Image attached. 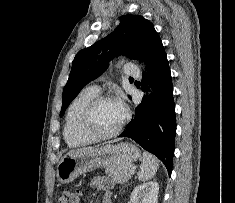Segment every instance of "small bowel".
<instances>
[{
  "mask_svg": "<svg viewBox=\"0 0 235 203\" xmlns=\"http://www.w3.org/2000/svg\"><path fill=\"white\" fill-rule=\"evenodd\" d=\"M91 186L93 188L103 191L104 193L103 203H111L110 193H111L113 184H112V181L108 177L97 176L93 178V180L91 181Z\"/></svg>",
  "mask_w": 235,
  "mask_h": 203,
  "instance_id": "obj_1",
  "label": "small bowel"
}]
</instances>
